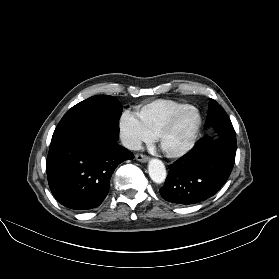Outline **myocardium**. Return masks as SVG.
Wrapping results in <instances>:
<instances>
[{"mask_svg":"<svg viewBox=\"0 0 279 279\" xmlns=\"http://www.w3.org/2000/svg\"><path fill=\"white\" fill-rule=\"evenodd\" d=\"M189 110H193L194 112H196L198 120H197V124L195 126V128L193 129V131L191 132L188 140L186 141V143L178 150L175 151H166L162 148V140L164 139V137L170 132V130L172 129L173 125L175 124V122L187 111ZM202 126V115L200 113V111L192 105H188L186 107H183L177 111H175L168 119L167 121L162 125V127L159 129V131L156 133L155 135V141L158 145V147L161 149V151L164 153V155L168 158H180L182 156H184L185 154H187L190 149L192 148L196 137L201 129Z\"/></svg>","mask_w":279,"mask_h":279,"instance_id":"myocardium-1","label":"myocardium"}]
</instances>
